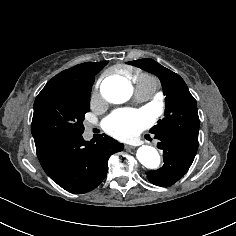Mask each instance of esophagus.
<instances>
[{
	"instance_id": "esophagus-1",
	"label": "esophagus",
	"mask_w": 236,
	"mask_h": 236,
	"mask_svg": "<svg viewBox=\"0 0 236 236\" xmlns=\"http://www.w3.org/2000/svg\"><path fill=\"white\" fill-rule=\"evenodd\" d=\"M129 148H133V146H129Z\"/></svg>"
}]
</instances>
